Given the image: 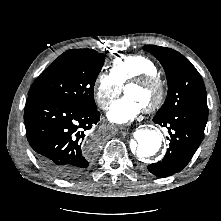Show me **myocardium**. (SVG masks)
<instances>
[{"label":"myocardium","instance_id":"1","mask_svg":"<svg viewBox=\"0 0 221 221\" xmlns=\"http://www.w3.org/2000/svg\"><path fill=\"white\" fill-rule=\"evenodd\" d=\"M129 86H147L155 90L156 96L148 104L144 106L147 112H153L158 109L164 102L166 96V89L163 80L158 74L145 73L130 79L124 85V91Z\"/></svg>","mask_w":221,"mask_h":221}]
</instances>
